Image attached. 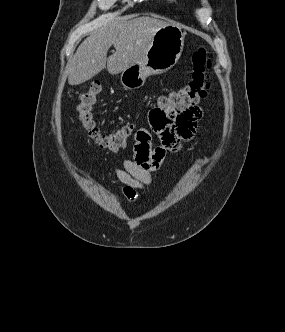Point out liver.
<instances>
[{
  "instance_id": "obj_1",
  "label": "liver",
  "mask_w": 285,
  "mask_h": 332,
  "mask_svg": "<svg viewBox=\"0 0 285 332\" xmlns=\"http://www.w3.org/2000/svg\"><path fill=\"white\" fill-rule=\"evenodd\" d=\"M170 23L152 17L122 18L92 32L78 47L68 65V83L79 85L107 67L110 74L139 63L156 32ZM116 52L107 58L108 49Z\"/></svg>"
}]
</instances>
